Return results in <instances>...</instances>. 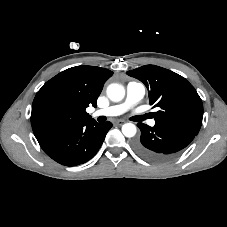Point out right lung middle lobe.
Here are the masks:
<instances>
[{
    "instance_id": "right-lung-middle-lobe-1",
    "label": "right lung middle lobe",
    "mask_w": 227,
    "mask_h": 227,
    "mask_svg": "<svg viewBox=\"0 0 227 227\" xmlns=\"http://www.w3.org/2000/svg\"><path fill=\"white\" fill-rule=\"evenodd\" d=\"M45 113L47 117L54 118L57 115L58 111L53 107H48Z\"/></svg>"
}]
</instances>
